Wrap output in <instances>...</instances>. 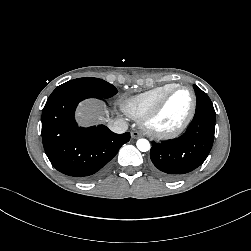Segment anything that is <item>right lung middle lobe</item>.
I'll return each mask as SVG.
<instances>
[{
	"instance_id": "1",
	"label": "right lung middle lobe",
	"mask_w": 251,
	"mask_h": 251,
	"mask_svg": "<svg viewBox=\"0 0 251 251\" xmlns=\"http://www.w3.org/2000/svg\"><path fill=\"white\" fill-rule=\"evenodd\" d=\"M76 93L89 97L107 99L117 93V89L110 83L98 78H78L58 86L50 95Z\"/></svg>"
}]
</instances>
